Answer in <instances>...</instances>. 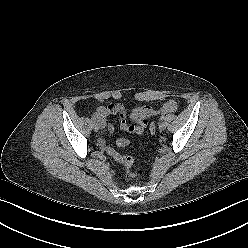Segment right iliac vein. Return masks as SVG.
I'll return each instance as SVG.
<instances>
[{"mask_svg":"<svg viewBox=\"0 0 248 248\" xmlns=\"http://www.w3.org/2000/svg\"><path fill=\"white\" fill-rule=\"evenodd\" d=\"M93 130H94L95 132H98V131H99V125H98L97 123H94V124H93Z\"/></svg>","mask_w":248,"mask_h":248,"instance_id":"63e3f726","label":"right iliac vein"}]
</instances>
